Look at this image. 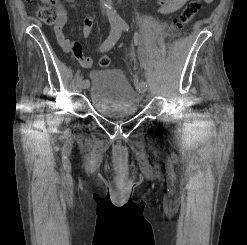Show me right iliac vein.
<instances>
[{"mask_svg":"<svg viewBox=\"0 0 247 245\" xmlns=\"http://www.w3.org/2000/svg\"><path fill=\"white\" fill-rule=\"evenodd\" d=\"M86 81V85L84 86V85H78V88H79V91H82L83 89H86V88H88L89 87V82L87 81V80H85Z\"/></svg>","mask_w":247,"mask_h":245,"instance_id":"63e3f726","label":"right iliac vein"}]
</instances>
